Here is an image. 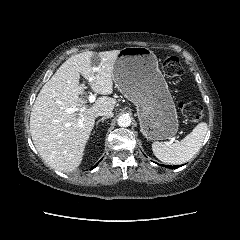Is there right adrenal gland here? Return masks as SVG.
Returning <instances> with one entry per match:
<instances>
[{
    "label": "right adrenal gland",
    "instance_id": "right-adrenal-gland-1",
    "mask_svg": "<svg viewBox=\"0 0 240 240\" xmlns=\"http://www.w3.org/2000/svg\"><path fill=\"white\" fill-rule=\"evenodd\" d=\"M107 119V117H102L101 119H99L97 122H96V126H98V124L100 122H104V120Z\"/></svg>",
    "mask_w": 240,
    "mask_h": 240
}]
</instances>
